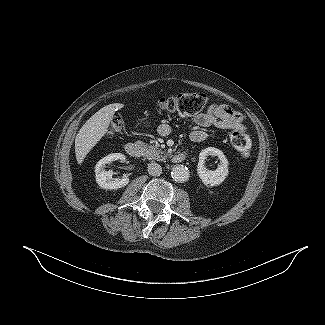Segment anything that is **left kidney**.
Here are the masks:
<instances>
[{
	"label": "left kidney",
	"mask_w": 325,
	"mask_h": 325,
	"mask_svg": "<svg viewBox=\"0 0 325 325\" xmlns=\"http://www.w3.org/2000/svg\"><path fill=\"white\" fill-rule=\"evenodd\" d=\"M208 156H217L220 160V165H218V168L215 170H208L205 167V160ZM197 173L201 181L206 186H218L222 184V182L226 179L228 176V160L225 157L224 153L214 147H208L203 149L199 153V162L197 167Z\"/></svg>",
	"instance_id": "obj_1"
}]
</instances>
